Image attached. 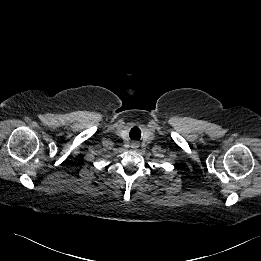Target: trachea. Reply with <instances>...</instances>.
<instances>
[{
  "label": "trachea",
  "instance_id": "3493384b",
  "mask_svg": "<svg viewBox=\"0 0 261 261\" xmlns=\"http://www.w3.org/2000/svg\"><path fill=\"white\" fill-rule=\"evenodd\" d=\"M141 137V131L138 127H133L130 131V138L139 140Z\"/></svg>",
  "mask_w": 261,
  "mask_h": 261
}]
</instances>
